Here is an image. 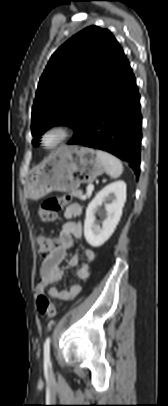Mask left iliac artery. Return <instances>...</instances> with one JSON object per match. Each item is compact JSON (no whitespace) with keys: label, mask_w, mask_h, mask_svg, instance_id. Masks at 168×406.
<instances>
[{"label":"left iliac artery","mask_w":168,"mask_h":406,"mask_svg":"<svg viewBox=\"0 0 168 406\" xmlns=\"http://www.w3.org/2000/svg\"><path fill=\"white\" fill-rule=\"evenodd\" d=\"M50 342H51L50 337H47L44 342V361L46 363L50 362Z\"/></svg>","instance_id":"left-iliac-artery-1"}]
</instances>
